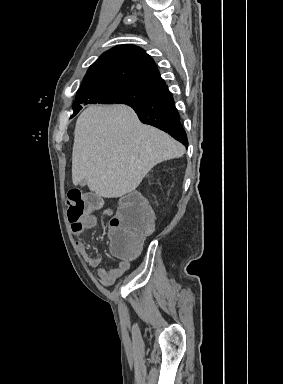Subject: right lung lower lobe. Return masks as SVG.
Returning <instances> with one entry per match:
<instances>
[{
	"label": "right lung lower lobe",
	"mask_w": 283,
	"mask_h": 384,
	"mask_svg": "<svg viewBox=\"0 0 283 384\" xmlns=\"http://www.w3.org/2000/svg\"><path fill=\"white\" fill-rule=\"evenodd\" d=\"M130 107L135 110L141 122L169 133L188 147L186 132L180 122L173 96L167 85L160 88L149 103Z\"/></svg>",
	"instance_id": "98d812e1"
}]
</instances>
